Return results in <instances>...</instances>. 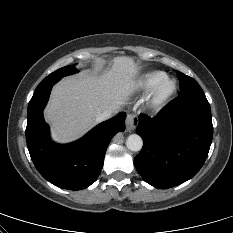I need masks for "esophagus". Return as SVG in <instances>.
Returning <instances> with one entry per match:
<instances>
[{
    "instance_id": "1",
    "label": "esophagus",
    "mask_w": 233,
    "mask_h": 233,
    "mask_svg": "<svg viewBox=\"0 0 233 233\" xmlns=\"http://www.w3.org/2000/svg\"><path fill=\"white\" fill-rule=\"evenodd\" d=\"M138 125V117L135 114H128L126 117V129L127 131H133Z\"/></svg>"
}]
</instances>
